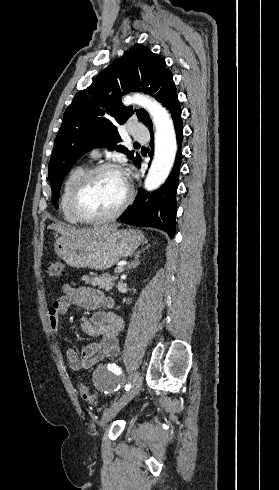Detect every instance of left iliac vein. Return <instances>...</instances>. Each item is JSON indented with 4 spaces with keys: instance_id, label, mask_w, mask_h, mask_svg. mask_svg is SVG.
Wrapping results in <instances>:
<instances>
[{
    "instance_id": "obj_1",
    "label": "left iliac vein",
    "mask_w": 279,
    "mask_h": 490,
    "mask_svg": "<svg viewBox=\"0 0 279 490\" xmlns=\"http://www.w3.org/2000/svg\"><path fill=\"white\" fill-rule=\"evenodd\" d=\"M128 380L132 383L131 389L122 394L116 405L105 411L101 419V425H106L112 420L138 394L142 383L140 374L134 371L130 374Z\"/></svg>"
}]
</instances>
